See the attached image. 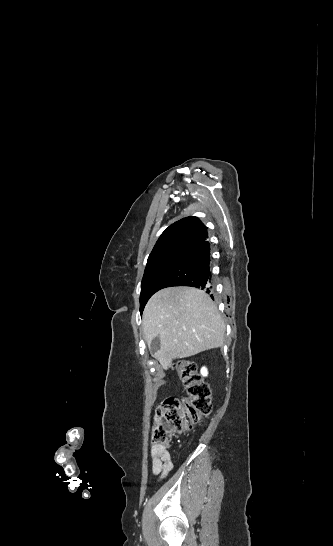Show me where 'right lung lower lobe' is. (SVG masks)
I'll use <instances>...</instances> for the list:
<instances>
[{
  "label": "right lung lower lobe",
  "instance_id": "1",
  "mask_svg": "<svg viewBox=\"0 0 333 546\" xmlns=\"http://www.w3.org/2000/svg\"><path fill=\"white\" fill-rule=\"evenodd\" d=\"M210 264V243L205 240L189 249L159 278L155 292L170 286H191L205 290L214 299ZM140 311H143L142 308Z\"/></svg>",
  "mask_w": 333,
  "mask_h": 546
}]
</instances>
